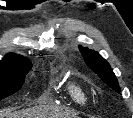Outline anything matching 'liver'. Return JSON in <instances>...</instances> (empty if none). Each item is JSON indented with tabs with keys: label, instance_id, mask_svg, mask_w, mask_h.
Masks as SVG:
<instances>
[{
	"label": "liver",
	"instance_id": "1",
	"mask_svg": "<svg viewBox=\"0 0 133 118\" xmlns=\"http://www.w3.org/2000/svg\"><path fill=\"white\" fill-rule=\"evenodd\" d=\"M77 112L56 106H37L11 113L0 110V118H76Z\"/></svg>",
	"mask_w": 133,
	"mask_h": 118
}]
</instances>
